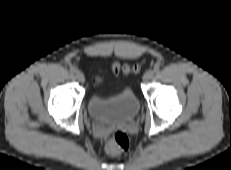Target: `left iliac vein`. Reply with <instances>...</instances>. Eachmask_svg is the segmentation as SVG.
<instances>
[{"label":"left iliac vein","instance_id":"obj_1","mask_svg":"<svg viewBox=\"0 0 231 170\" xmlns=\"http://www.w3.org/2000/svg\"><path fill=\"white\" fill-rule=\"evenodd\" d=\"M154 76V72L152 70H148L144 76H143V81L146 83L148 81H150Z\"/></svg>","mask_w":231,"mask_h":170}]
</instances>
